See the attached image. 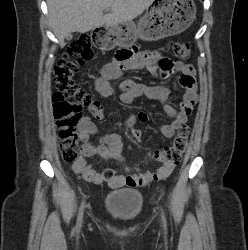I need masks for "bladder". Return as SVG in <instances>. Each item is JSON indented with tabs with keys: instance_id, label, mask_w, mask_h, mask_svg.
<instances>
[{
	"instance_id": "obj_1",
	"label": "bladder",
	"mask_w": 248,
	"mask_h": 250,
	"mask_svg": "<svg viewBox=\"0 0 248 250\" xmlns=\"http://www.w3.org/2000/svg\"><path fill=\"white\" fill-rule=\"evenodd\" d=\"M144 200L138 189L123 188L106 194L104 207L112 217L129 222L136 219L142 212Z\"/></svg>"
}]
</instances>
